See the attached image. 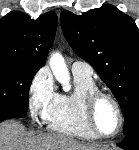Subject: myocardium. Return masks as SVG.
Wrapping results in <instances>:
<instances>
[{
    "label": "myocardium",
    "instance_id": "f54148a6",
    "mask_svg": "<svg viewBox=\"0 0 139 150\" xmlns=\"http://www.w3.org/2000/svg\"><path fill=\"white\" fill-rule=\"evenodd\" d=\"M102 98H107L113 103L117 116H118V126L112 134L101 133L98 130L96 123H95V118H94L95 108L99 100ZM84 117H85V120L89 129L93 132V134L97 138H102V139H111V138L116 137L121 132L123 124H124L123 112H122L120 103L117 100V98L111 93L101 91V90L93 91L87 95L85 102H84Z\"/></svg>",
    "mask_w": 139,
    "mask_h": 150
}]
</instances>
